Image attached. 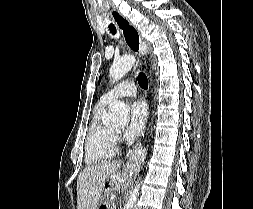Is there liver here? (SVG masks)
<instances>
[{
    "label": "liver",
    "mask_w": 253,
    "mask_h": 209,
    "mask_svg": "<svg viewBox=\"0 0 253 209\" xmlns=\"http://www.w3.org/2000/svg\"><path fill=\"white\" fill-rule=\"evenodd\" d=\"M121 162L102 161L87 166L77 179V209H97L105 182L109 181L112 190H119L128 179L127 171H119Z\"/></svg>",
    "instance_id": "1"
}]
</instances>
